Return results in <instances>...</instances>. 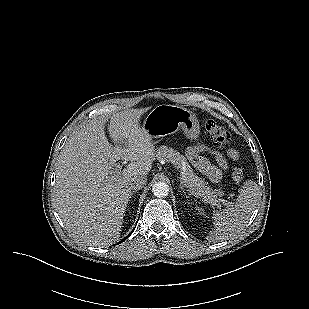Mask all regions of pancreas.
Segmentation results:
<instances>
[{"label": "pancreas", "instance_id": "cf45deb5", "mask_svg": "<svg viewBox=\"0 0 309 309\" xmlns=\"http://www.w3.org/2000/svg\"><path fill=\"white\" fill-rule=\"evenodd\" d=\"M156 156L159 160L171 162L178 168L182 167V162L184 161V157L178 151L168 148L167 146H160L157 148ZM183 172V179L196 196L203 198V200L209 204L217 205L219 203L217 197L221 196L223 191L220 189H212L208 186L207 182L193 173L189 164H185Z\"/></svg>", "mask_w": 309, "mask_h": 309}]
</instances>
